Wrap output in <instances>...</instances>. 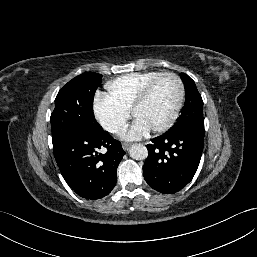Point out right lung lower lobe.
<instances>
[{
  "label": "right lung lower lobe",
  "mask_w": 257,
  "mask_h": 257,
  "mask_svg": "<svg viewBox=\"0 0 257 257\" xmlns=\"http://www.w3.org/2000/svg\"><path fill=\"white\" fill-rule=\"evenodd\" d=\"M105 147V154L98 149ZM54 156L67 184L81 197L100 199L117 180V167L125 152L121 142L103 131L94 135L69 134L53 143Z\"/></svg>",
  "instance_id": "1"
}]
</instances>
